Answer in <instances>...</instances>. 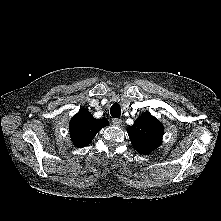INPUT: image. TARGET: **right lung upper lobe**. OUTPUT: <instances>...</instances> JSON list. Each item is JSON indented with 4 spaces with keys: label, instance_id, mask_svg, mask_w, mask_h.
Masks as SVG:
<instances>
[{
    "label": "right lung upper lobe",
    "instance_id": "right-lung-upper-lobe-1",
    "mask_svg": "<svg viewBox=\"0 0 221 221\" xmlns=\"http://www.w3.org/2000/svg\"><path fill=\"white\" fill-rule=\"evenodd\" d=\"M108 124L107 119H95L90 112L82 108L71 119L69 124L72 142L76 147H84Z\"/></svg>",
    "mask_w": 221,
    "mask_h": 221
}]
</instances>
